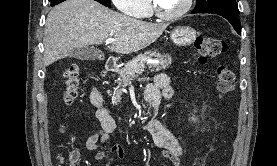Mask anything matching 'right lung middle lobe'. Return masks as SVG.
Segmentation results:
<instances>
[{
	"label": "right lung middle lobe",
	"instance_id": "1",
	"mask_svg": "<svg viewBox=\"0 0 277 166\" xmlns=\"http://www.w3.org/2000/svg\"><path fill=\"white\" fill-rule=\"evenodd\" d=\"M50 2H55L56 0H49ZM104 6L111 7L110 0H96Z\"/></svg>",
	"mask_w": 277,
	"mask_h": 166
}]
</instances>
